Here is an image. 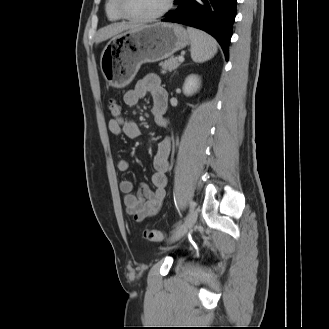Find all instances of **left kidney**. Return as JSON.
<instances>
[{
	"label": "left kidney",
	"mask_w": 329,
	"mask_h": 329,
	"mask_svg": "<svg viewBox=\"0 0 329 329\" xmlns=\"http://www.w3.org/2000/svg\"><path fill=\"white\" fill-rule=\"evenodd\" d=\"M200 87V78L197 75H189L183 85V93L187 96L194 94Z\"/></svg>",
	"instance_id": "obj_1"
}]
</instances>
